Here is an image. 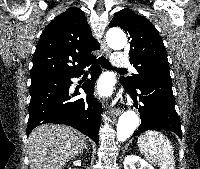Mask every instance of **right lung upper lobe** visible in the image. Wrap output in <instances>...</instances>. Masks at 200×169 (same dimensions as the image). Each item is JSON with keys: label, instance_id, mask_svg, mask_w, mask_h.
<instances>
[{"label": "right lung upper lobe", "instance_id": "cb5924a9", "mask_svg": "<svg viewBox=\"0 0 200 169\" xmlns=\"http://www.w3.org/2000/svg\"><path fill=\"white\" fill-rule=\"evenodd\" d=\"M100 49L82 10L71 7L44 29L33 56L31 85L69 76L82 69Z\"/></svg>", "mask_w": 200, "mask_h": 169}]
</instances>
